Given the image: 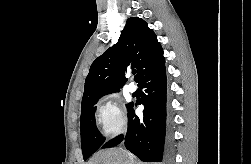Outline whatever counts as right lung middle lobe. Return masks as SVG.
<instances>
[{"mask_svg": "<svg viewBox=\"0 0 251 164\" xmlns=\"http://www.w3.org/2000/svg\"><path fill=\"white\" fill-rule=\"evenodd\" d=\"M97 100L81 108V145L84 160H87L105 142V138L98 131L95 123L96 107L94 105Z\"/></svg>", "mask_w": 251, "mask_h": 164, "instance_id": "dd1d6c3e", "label": "right lung middle lobe"}]
</instances>
